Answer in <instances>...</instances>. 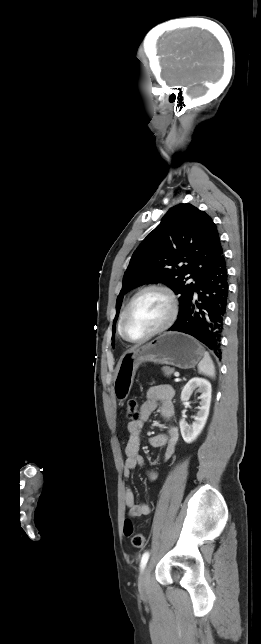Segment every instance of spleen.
Returning <instances> with one entry per match:
<instances>
[{"mask_svg":"<svg viewBox=\"0 0 261 644\" xmlns=\"http://www.w3.org/2000/svg\"><path fill=\"white\" fill-rule=\"evenodd\" d=\"M198 370L199 373L205 376L215 377V367L208 352L204 353L202 360L198 364Z\"/></svg>","mask_w":261,"mask_h":644,"instance_id":"1","label":"spleen"}]
</instances>
